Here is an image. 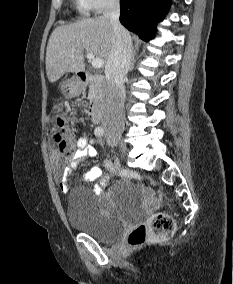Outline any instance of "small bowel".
<instances>
[{
    "label": "small bowel",
    "instance_id": "c3829d8e",
    "mask_svg": "<svg viewBox=\"0 0 233 284\" xmlns=\"http://www.w3.org/2000/svg\"><path fill=\"white\" fill-rule=\"evenodd\" d=\"M76 152L61 166L57 164L56 178L59 187L63 192L69 189L71 173L76 170L78 164L88 158H95L97 151L85 135H82L76 142ZM101 175V169L97 166L92 167L84 176L85 181H94ZM107 183V178H102L95 186L94 190L100 192Z\"/></svg>",
    "mask_w": 233,
    "mask_h": 284
}]
</instances>
